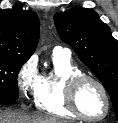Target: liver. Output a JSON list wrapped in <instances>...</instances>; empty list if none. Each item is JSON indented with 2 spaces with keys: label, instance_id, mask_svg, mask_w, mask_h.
<instances>
[{
  "label": "liver",
  "instance_id": "6515ba94",
  "mask_svg": "<svg viewBox=\"0 0 118 123\" xmlns=\"http://www.w3.org/2000/svg\"><path fill=\"white\" fill-rule=\"evenodd\" d=\"M0 123H66L65 121L41 114H25L15 111H0Z\"/></svg>",
  "mask_w": 118,
  "mask_h": 123
}]
</instances>
